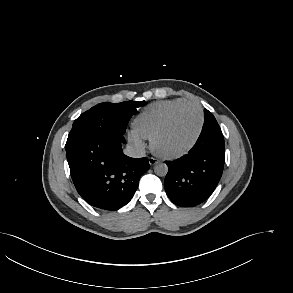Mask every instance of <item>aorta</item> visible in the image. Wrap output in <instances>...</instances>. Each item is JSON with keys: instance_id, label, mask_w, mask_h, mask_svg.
<instances>
[{"instance_id": "aorta-1", "label": "aorta", "mask_w": 293, "mask_h": 293, "mask_svg": "<svg viewBox=\"0 0 293 293\" xmlns=\"http://www.w3.org/2000/svg\"><path fill=\"white\" fill-rule=\"evenodd\" d=\"M154 172L158 176H166L168 172V167L165 163H156L154 166Z\"/></svg>"}]
</instances>
